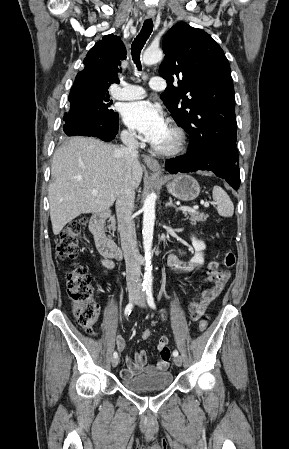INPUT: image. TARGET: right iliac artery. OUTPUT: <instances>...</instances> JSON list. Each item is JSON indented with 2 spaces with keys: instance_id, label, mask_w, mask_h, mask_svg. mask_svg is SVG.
Here are the masks:
<instances>
[{
  "instance_id": "1",
  "label": "right iliac artery",
  "mask_w": 289,
  "mask_h": 449,
  "mask_svg": "<svg viewBox=\"0 0 289 449\" xmlns=\"http://www.w3.org/2000/svg\"><path fill=\"white\" fill-rule=\"evenodd\" d=\"M143 291H144V290H143ZM133 307H134V304H133V303H129V304L126 306L125 311H124L125 316H129V315H130L131 311L133 310ZM113 357H114V358H117V357H118V353H117V352H114V353H113Z\"/></svg>"
}]
</instances>
